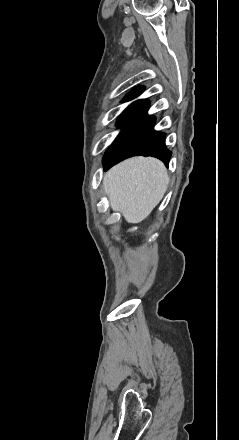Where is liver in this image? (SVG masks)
I'll return each instance as SVG.
<instances>
[{
  "label": "liver",
  "instance_id": "1",
  "mask_svg": "<svg viewBox=\"0 0 239 440\" xmlns=\"http://www.w3.org/2000/svg\"><path fill=\"white\" fill-rule=\"evenodd\" d=\"M169 176L156 158H129L106 172L103 190L113 212H121L128 224L143 222L162 200Z\"/></svg>",
  "mask_w": 239,
  "mask_h": 440
}]
</instances>
